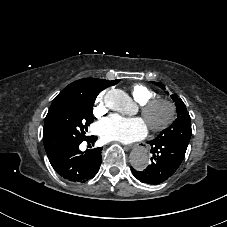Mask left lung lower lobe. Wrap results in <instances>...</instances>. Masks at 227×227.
<instances>
[{
  "instance_id": "obj_1",
  "label": "left lung lower lobe",
  "mask_w": 227,
  "mask_h": 227,
  "mask_svg": "<svg viewBox=\"0 0 227 227\" xmlns=\"http://www.w3.org/2000/svg\"><path fill=\"white\" fill-rule=\"evenodd\" d=\"M151 145L152 164L144 171L131 167L133 175L148 184H159L171 177L184 159L188 144L155 139L148 141Z\"/></svg>"
}]
</instances>
